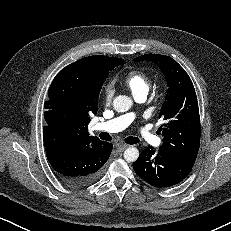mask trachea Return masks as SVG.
Segmentation results:
<instances>
[{
    "mask_svg": "<svg viewBox=\"0 0 231 231\" xmlns=\"http://www.w3.org/2000/svg\"><path fill=\"white\" fill-rule=\"evenodd\" d=\"M100 139L106 140V141H111L112 137L107 133V132H102L100 133ZM139 139L137 137H127L125 138V142L127 144H136L139 143Z\"/></svg>",
    "mask_w": 231,
    "mask_h": 231,
    "instance_id": "trachea-1",
    "label": "trachea"
}]
</instances>
